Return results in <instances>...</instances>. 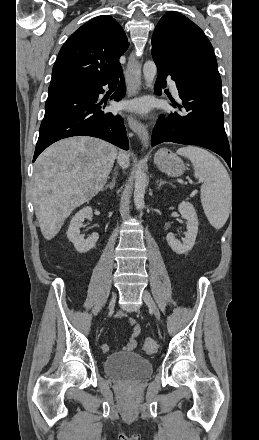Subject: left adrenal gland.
Returning <instances> with one entry per match:
<instances>
[{
  "label": "left adrenal gland",
  "instance_id": "obj_1",
  "mask_svg": "<svg viewBox=\"0 0 259 440\" xmlns=\"http://www.w3.org/2000/svg\"><path fill=\"white\" fill-rule=\"evenodd\" d=\"M166 183H167L166 181H163L162 179H160L159 181H157L158 188H160L162 185H164Z\"/></svg>",
  "mask_w": 259,
  "mask_h": 440
}]
</instances>
